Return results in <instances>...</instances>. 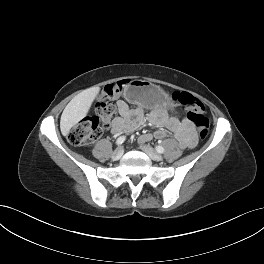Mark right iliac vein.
<instances>
[{
    "label": "right iliac vein",
    "instance_id": "right-iliac-vein-1",
    "mask_svg": "<svg viewBox=\"0 0 264 264\" xmlns=\"http://www.w3.org/2000/svg\"><path fill=\"white\" fill-rule=\"evenodd\" d=\"M124 153V149L123 147H118L116 150H114V152L112 153V159L113 160H118L122 157Z\"/></svg>",
    "mask_w": 264,
    "mask_h": 264
}]
</instances>
